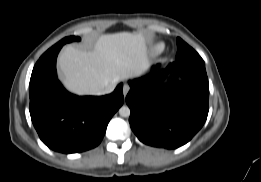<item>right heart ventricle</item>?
Masks as SVG:
<instances>
[{"mask_svg": "<svg viewBox=\"0 0 261 182\" xmlns=\"http://www.w3.org/2000/svg\"><path fill=\"white\" fill-rule=\"evenodd\" d=\"M163 47H164L163 44H158V45L155 46V51L159 52L163 49Z\"/></svg>", "mask_w": 261, "mask_h": 182, "instance_id": "1", "label": "right heart ventricle"}]
</instances>
